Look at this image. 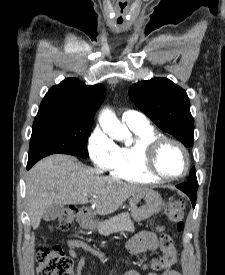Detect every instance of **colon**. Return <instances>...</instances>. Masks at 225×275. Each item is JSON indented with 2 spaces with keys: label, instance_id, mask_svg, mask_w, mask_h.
<instances>
[{
  "label": "colon",
  "instance_id": "colon-1",
  "mask_svg": "<svg viewBox=\"0 0 225 275\" xmlns=\"http://www.w3.org/2000/svg\"><path fill=\"white\" fill-rule=\"evenodd\" d=\"M185 202L181 199L167 203L165 213L169 221L176 224L179 231L184 227ZM78 210L69 206L56 220L57 227L68 231L73 227ZM161 247L163 255L156 259L153 267L157 270H169L176 259L174 241L168 234L162 233ZM37 275H74L72 260L60 247H40L37 252Z\"/></svg>",
  "mask_w": 225,
  "mask_h": 275
}]
</instances>
